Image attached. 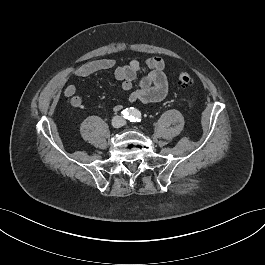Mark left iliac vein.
<instances>
[{
	"label": "left iliac vein",
	"instance_id": "obj_1",
	"mask_svg": "<svg viewBox=\"0 0 265 265\" xmlns=\"http://www.w3.org/2000/svg\"><path fill=\"white\" fill-rule=\"evenodd\" d=\"M126 124V122H123V125H125Z\"/></svg>",
	"mask_w": 265,
	"mask_h": 265
}]
</instances>
